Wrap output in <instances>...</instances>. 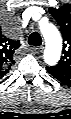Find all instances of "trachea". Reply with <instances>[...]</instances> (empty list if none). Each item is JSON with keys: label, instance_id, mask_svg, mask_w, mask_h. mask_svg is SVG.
<instances>
[{"label": "trachea", "instance_id": "3493384b", "mask_svg": "<svg viewBox=\"0 0 71 119\" xmlns=\"http://www.w3.org/2000/svg\"><path fill=\"white\" fill-rule=\"evenodd\" d=\"M28 44L32 46H40L42 44V38L38 32H33L28 38Z\"/></svg>", "mask_w": 71, "mask_h": 119}]
</instances>
